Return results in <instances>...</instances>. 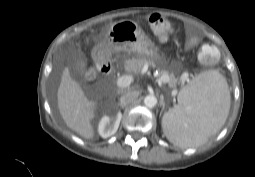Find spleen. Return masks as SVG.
Listing matches in <instances>:
<instances>
[{
    "label": "spleen",
    "instance_id": "3e777b00",
    "mask_svg": "<svg viewBox=\"0 0 255 177\" xmlns=\"http://www.w3.org/2000/svg\"><path fill=\"white\" fill-rule=\"evenodd\" d=\"M226 79L216 70L197 75L178 95V105L163 115L167 139L182 148L203 144L224 125L230 110Z\"/></svg>",
    "mask_w": 255,
    "mask_h": 177
}]
</instances>
